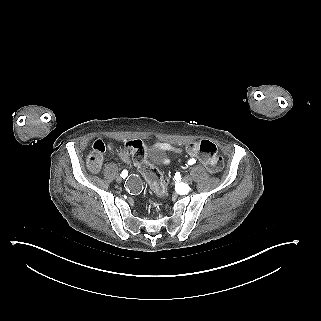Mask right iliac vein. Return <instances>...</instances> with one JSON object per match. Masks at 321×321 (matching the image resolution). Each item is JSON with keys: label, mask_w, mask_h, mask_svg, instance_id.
I'll list each match as a JSON object with an SVG mask.
<instances>
[{"label": "right iliac vein", "mask_w": 321, "mask_h": 321, "mask_svg": "<svg viewBox=\"0 0 321 321\" xmlns=\"http://www.w3.org/2000/svg\"><path fill=\"white\" fill-rule=\"evenodd\" d=\"M115 179H116V181H117L118 183H121V182H122V177L119 176V175H116V176H115Z\"/></svg>", "instance_id": "right-iliac-vein-1"}]
</instances>
